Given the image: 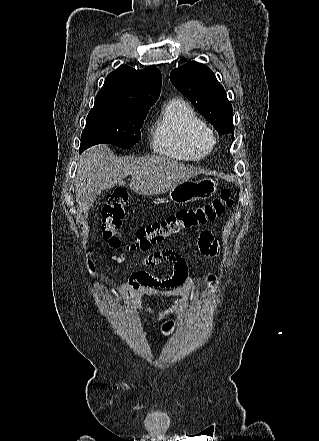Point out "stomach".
<instances>
[{"label": "stomach", "mask_w": 319, "mask_h": 441, "mask_svg": "<svg viewBox=\"0 0 319 441\" xmlns=\"http://www.w3.org/2000/svg\"><path fill=\"white\" fill-rule=\"evenodd\" d=\"M218 183L209 177L198 181L185 180L169 191V201L185 205L196 200H204L213 196L217 190Z\"/></svg>", "instance_id": "0dacf381"}]
</instances>
